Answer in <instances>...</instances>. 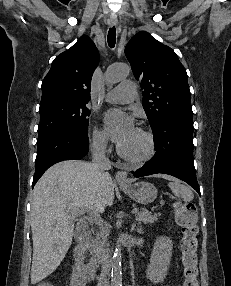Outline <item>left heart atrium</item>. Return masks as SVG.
I'll list each match as a JSON object with an SVG mask.
<instances>
[{
  "label": "left heart atrium",
  "instance_id": "obj_1",
  "mask_svg": "<svg viewBox=\"0 0 231 286\" xmlns=\"http://www.w3.org/2000/svg\"><path fill=\"white\" fill-rule=\"evenodd\" d=\"M106 128L111 138L120 146L135 132L133 119L120 110L112 109L104 116Z\"/></svg>",
  "mask_w": 231,
  "mask_h": 286
}]
</instances>
